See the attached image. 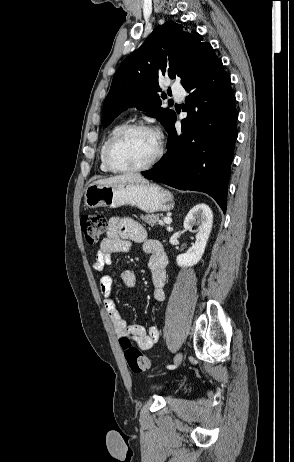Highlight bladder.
I'll return each instance as SVG.
<instances>
[{
	"label": "bladder",
	"mask_w": 294,
	"mask_h": 462,
	"mask_svg": "<svg viewBox=\"0 0 294 462\" xmlns=\"http://www.w3.org/2000/svg\"><path fill=\"white\" fill-rule=\"evenodd\" d=\"M161 391H162V387H161L160 385L152 384V385H150V387H149V392H150V393L155 394V393H159V392H161Z\"/></svg>",
	"instance_id": "31cf9c89"
}]
</instances>
